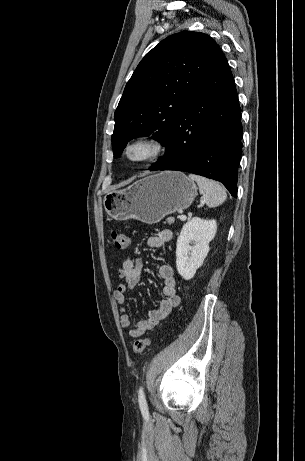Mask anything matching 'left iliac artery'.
Segmentation results:
<instances>
[{
  "mask_svg": "<svg viewBox=\"0 0 305 461\" xmlns=\"http://www.w3.org/2000/svg\"><path fill=\"white\" fill-rule=\"evenodd\" d=\"M138 402H139V406H140V410H141L142 414L143 415H148V406H147V402H146L143 387L139 388Z\"/></svg>",
  "mask_w": 305,
  "mask_h": 461,
  "instance_id": "1",
  "label": "left iliac artery"
}]
</instances>
